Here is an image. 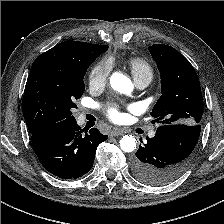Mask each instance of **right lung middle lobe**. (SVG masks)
<instances>
[{"label": "right lung middle lobe", "instance_id": "1", "mask_svg": "<svg viewBox=\"0 0 224 224\" xmlns=\"http://www.w3.org/2000/svg\"><path fill=\"white\" fill-rule=\"evenodd\" d=\"M107 49L108 46L104 52ZM94 60L70 65L31 67L22 102L24 119L30 133L61 121L75 120L72 116V109L77 107L74 101L85 90L83 78Z\"/></svg>", "mask_w": 224, "mask_h": 224}]
</instances>
